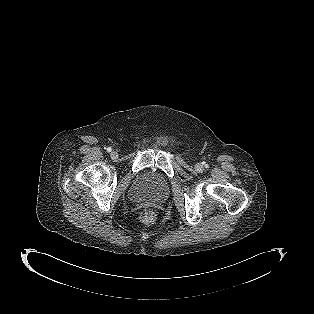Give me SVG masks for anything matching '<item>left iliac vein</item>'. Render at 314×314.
<instances>
[{"label": "left iliac vein", "instance_id": "obj_1", "mask_svg": "<svg viewBox=\"0 0 314 314\" xmlns=\"http://www.w3.org/2000/svg\"><path fill=\"white\" fill-rule=\"evenodd\" d=\"M195 169H196L197 171H201V170L203 169V167H202V165H201L200 163H197V164L195 165Z\"/></svg>", "mask_w": 314, "mask_h": 314}]
</instances>
